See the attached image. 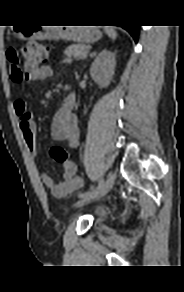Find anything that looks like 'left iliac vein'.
Here are the masks:
<instances>
[{"instance_id": "left-iliac-vein-1", "label": "left iliac vein", "mask_w": 184, "mask_h": 292, "mask_svg": "<svg viewBox=\"0 0 184 292\" xmlns=\"http://www.w3.org/2000/svg\"><path fill=\"white\" fill-rule=\"evenodd\" d=\"M115 179H116V174L115 173L110 174L99 189L91 193L89 196L83 198L78 203V205L81 206L84 204H88L105 196L113 188Z\"/></svg>"}]
</instances>
